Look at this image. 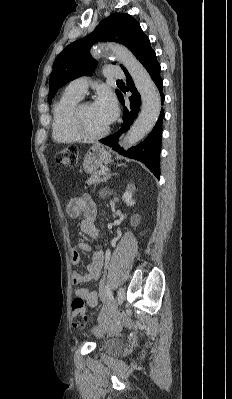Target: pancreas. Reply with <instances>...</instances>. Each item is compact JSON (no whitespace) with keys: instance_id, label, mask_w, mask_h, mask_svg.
<instances>
[{"instance_id":"pancreas-1","label":"pancreas","mask_w":232,"mask_h":399,"mask_svg":"<svg viewBox=\"0 0 232 399\" xmlns=\"http://www.w3.org/2000/svg\"><path fill=\"white\" fill-rule=\"evenodd\" d=\"M101 174H99L98 170H96V172H92L89 180H87L86 184H88V186H92V184H100L101 182V178H100Z\"/></svg>"}]
</instances>
